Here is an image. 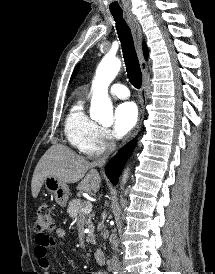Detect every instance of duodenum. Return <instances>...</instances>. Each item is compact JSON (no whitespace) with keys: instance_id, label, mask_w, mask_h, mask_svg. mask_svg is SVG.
I'll use <instances>...</instances> for the list:
<instances>
[{"instance_id":"obj_1","label":"duodenum","mask_w":215,"mask_h":274,"mask_svg":"<svg viewBox=\"0 0 215 274\" xmlns=\"http://www.w3.org/2000/svg\"><path fill=\"white\" fill-rule=\"evenodd\" d=\"M94 257L98 264L103 265L105 263V253L101 248L95 250Z\"/></svg>"}]
</instances>
